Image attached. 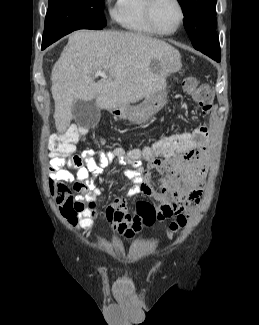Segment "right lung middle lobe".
Masks as SVG:
<instances>
[{
	"label": "right lung middle lobe",
	"mask_w": 259,
	"mask_h": 325,
	"mask_svg": "<svg viewBox=\"0 0 259 325\" xmlns=\"http://www.w3.org/2000/svg\"><path fill=\"white\" fill-rule=\"evenodd\" d=\"M104 0H49L42 45L78 29H102Z\"/></svg>",
	"instance_id": "dd1d6c3e"
}]
</instances>
